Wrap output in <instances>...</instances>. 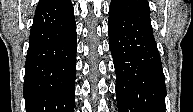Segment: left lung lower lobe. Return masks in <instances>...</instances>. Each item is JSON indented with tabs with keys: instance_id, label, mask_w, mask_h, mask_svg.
<instances>
[{
	"instance_id": "1",
	"label": "left lung lower lobe",
	"mask_w": 193,
	"mask_h": 112,
	"mask_svg": "<svg viewBox=\"0 0 193 112\" xmlns=\"http://www.w3.org/2000/svg\"><path fill=\"white\" fill-rule=\"evenodd\" d=\"M147 0H112L109 47L119 112H165V77Z\"/></svg>"
}]
</instances>
